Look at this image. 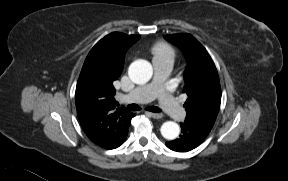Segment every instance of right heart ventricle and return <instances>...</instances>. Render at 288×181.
Listing matches in <instances>:
<instances>
[{"label":"right heart ventricle","mask_w":288,"mask_h":181,"mask_svg":"<svg viewBox=\"0 0 288 181\" xmlns=\"http://www.w3.org/2000/svg\"><path fill=\"white\" fill-rule=\"evenodd\" d=\"M151 52L153 54V60L169 59L173 62L176 56L175 50L164 42L155 44Z\"/></svg>","instance_id":"e07e8e85"}]
</instances>
